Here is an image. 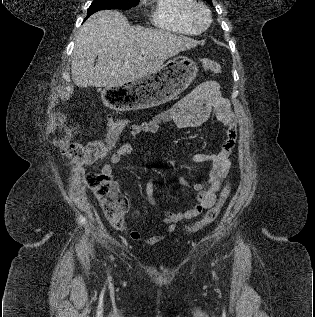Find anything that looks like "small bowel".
<instances>
[{"mask_svg": "<svg viewBox=\"0 0 315 317\" xmlns=\"http://www.w3.org/2000/svg\"><path fill=\"white\" fill-rule=\"evenodd\" d=\"M214 114L219 122L226 128V139L219 151L210 153H195L192 160L195 163L210 162L212 170L206 185L195 183L190 185L184 178L179 177L178 182L184 187H192L197 193V204L182 212L164 213L163 222L167 228L163 234L143 238L138 230L130 232V238L134 241H142L152 246L162 241L168 234L172 233L176 224L183 220H189L199 216L204 210L211 208L216 200V194L220 190L221 181L227 176L231 168L230 154L237 139V121L232 112L229 102L224 99L219 91V85L215 81H207L200 84L194 91L179 100L171 108L166 109L150 120L132 124L129 132L133 136L155 133L163 123H174L180 129L195 128L205 123ZM136 152L134 145L125 143L119 146L111 155L110 162L102 167V171L112 175L113 166L118 165L126 156ZM154 179H149L145 185V193L148 203L155 209L159 203L154 197ZM133 218L138 217V212H132Z\"/></svg>", "mask_w": 315, "mask_h": 317, "instance_id": "small-bowel-1", "label": "small bowel"}]
</instances>
